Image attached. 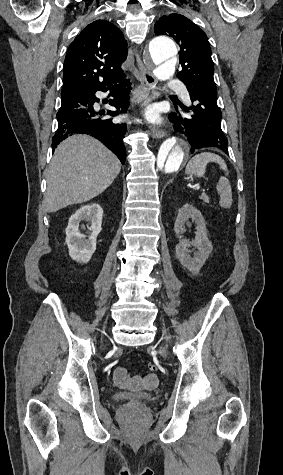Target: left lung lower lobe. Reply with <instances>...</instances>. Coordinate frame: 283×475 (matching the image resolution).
I'll return each mask as SVG.
<instances>
[{"label": "left lung lower lobe", "instance_id": "1", "mask_svg": "<svg viewBox=\"0 0 283 475\" xmlns=\"http://www.w3.org/2000/svg\"><path fill=\"white\" fill-rule=\"evenodd\" d=\"M187 89L193 105L183 108L189 114H169L174 128L185 134L191 153L205 147L228 153V141L221 129L222 113L216 101L217 90L202 86H187Z\"/></svg>", "mask_w": 283, "mask_h": 475}]
</instances>
